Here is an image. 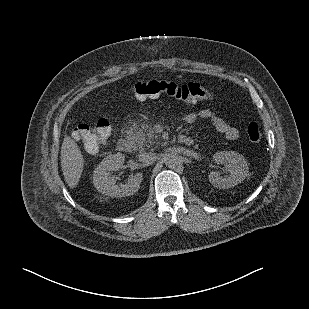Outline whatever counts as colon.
Masks as SVG:
<instances>
[{"label": "colon", "mask_w": 309, "mask_h": 309, "mask_svg": "<svg viewBox=\"0 0 309 309\" xmlns=\"http://www.w3.org/2000/svg\"><path fill=\"white\" fill-rule=\"evenodd\" d=\"M133 92L139 100L153 99L161 95H167L188 104L208 101L213 96L205 86L199 83L191 82L180 85L167 80L137 82L133 85ZM76 131L77 138L82 140L85 149L90 152L109 138L111 125L106 118H99L93 122L78 126ZM246 131L251 141L259 142L261 140L262 134L257 123H249Z\"/></svg>", "instance_id": "colon-1"}]
</instances>
